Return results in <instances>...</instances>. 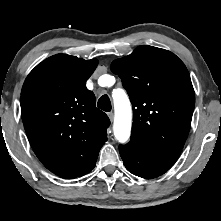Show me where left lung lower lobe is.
<instances>
[{
	"mask_svg": "<svg viewBox=\"0 0 221 221\" xmlns=\"http://www.w3.org/2000/svg\"><path fill=\"white\" fill-rule=\"evenodd\" d=\"M119 152L128 171L142 178L158 177L176 162L175 158L149 154L132 143L120 145Z\"/></svg>",
	"mask_w": 221,
	"mask_h": 221,
	"instance_id": "0a47b994",
	"label": "left lung lower lobe"
}]
</instances>
